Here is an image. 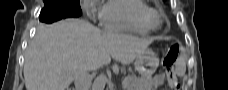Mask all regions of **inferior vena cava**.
<instances>
[{
	"label": "inferior vena cava",
	"mask_w": 228,
	"mask_h": 90,
	"mask_svg": "<svg viewBox=\"0 0 228 90\" xmlns=\"http://www.w3.org/2000/svg\"><path fill=\"white\" fill-rule=\"evenodd\" d=\"M90 84V79L84 74H80L75 78V90H89Z\"/></svg>",
	"instance_id": "inferior-vena-cava-1"
}]
</instances>
